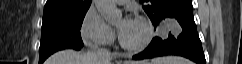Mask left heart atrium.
I'll return each mask as SVG.
<instances>
[{
    "label": "left heart atrium",
    "mask_w": 242,
    "mask_h": 64,
    "mask_svg": "<svg viewBox=\"0 0 242 64\" xmlns=\"http://www.w3.org/2000/svg\"><path fill=\"white\" fill-rule=\"evenodd\" d=\"M136 21L131 17H126L120 27L121 36L127 35L135 26Z\"/></svg>",
    "instance_id": "left-heart-atrium-1"
}]
</instances>
